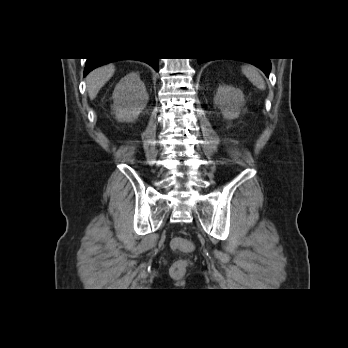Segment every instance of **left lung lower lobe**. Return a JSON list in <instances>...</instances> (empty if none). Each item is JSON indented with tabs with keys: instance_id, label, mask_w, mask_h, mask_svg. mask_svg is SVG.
<instances>
[{
	"instance_id": "obj_1",
	"label": "left lung lower lobe",
	"mask_w": 348,
	"mask_h": 348,
	"mask_svg": "<svg viewBox=\"0 0 348 348\" xmlns=\"http://www.w3.org/2000/svg\"><path fill=\"white\" fill-rule=\"evenodd\" d=\"M211 59H204V58H199L198 59V63H203V62H206V61H209ZM237 60H241V61H244V62H248L250 64H253L255 66H257L258 68H260L265 74L267 77H269V72H270V69H271V63H270V60L269 59H237Z\"/></svg>"
}]
</instances>
